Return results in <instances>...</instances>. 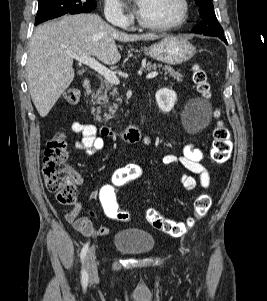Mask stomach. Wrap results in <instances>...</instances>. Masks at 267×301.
Returning a JSON list of instances; mask_svg holds the SVG:
<instances>
[{"label": "stomach", "instance_id": "obj_1", "mask_svg": "<svg viewBox=\"0 0 267 301\" xmlns=\"http://www.w3.org/2000/svg\"><path fill=\"white\" fill-rule=\"evenodd\" d=\"M144 52L157 61L177 65L190 60L196 48L187 39L167 36L159 43L145 47Z\"/></svg>", "mask_w": 267, "mask_h": 301}]
</instances>
